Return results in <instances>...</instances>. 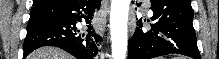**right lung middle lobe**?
<instances>
[{"label": "right lung middle lobe", "instance_id": "1", "mask_svg": "<svg viewBox=\"0 0 219 59\" xmlns=\"http://www.w3.org/2000/svg\"><path fill=\"white\" fill-rule=\"evenodd\" d=\"M47 20H49V16H47L46 14L32 15V16H30L28 25H33V24L45 22Z\"/></svg>", "mask_w": 219, "mask_h": 59}]
</instances>
